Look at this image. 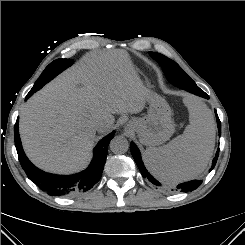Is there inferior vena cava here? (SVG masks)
Returning <instances> with one entry per match:
<instances>
[{"label":"inferior vena cava","instance_id":"obj_1","mask_svg":"<svg viewBox=\"0 0 245 245\" xmlns=\"http://www.w3.org/2000/svg\"><path fill=\"white\" fill-rule=\"evenodd\" d=\"M104 125H105L104 122H98L96 126H97V129H100V128H102Z\"/></svg>","mask_w":245,"mask_h":245}]
</instances>
